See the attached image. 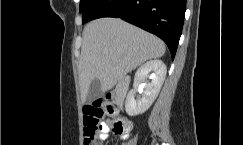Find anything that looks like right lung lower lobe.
Listing matches in <instances>:
<instances>
[{"mask_svg":"<svg viewBox=\"0 0 243 145\" xmlns=\"http://www.w3.org/2000/svg\"><path fill=\"white\" fill-rule=\"evenodd\" d=\"M186 0H93L83 23L100 17L121 18L160 37L174 59L182 33Z\"/></svg>","mask_w":243,"mask_h":145,"instance_id":"obj_1","label":"right lung lower lobe"}]
</instances>
